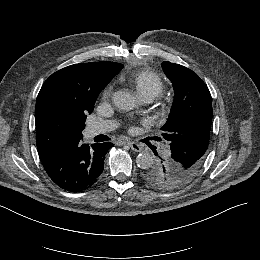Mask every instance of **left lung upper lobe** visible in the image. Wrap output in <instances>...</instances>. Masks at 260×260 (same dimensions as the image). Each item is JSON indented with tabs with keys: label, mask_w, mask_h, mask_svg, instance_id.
<instances>
[{
	"label": "left lung upper lobe",
	"mask_w": 260,
	"mask_h": 260,
	"mask_svg": "<svg viewBox=\"0 0 260 260\" xmlns=\"http://www.w3.org/2000/svg\"><path fill=\"white\" fill-rule=\"evenodd\" d=\"M162 68L175 93L168 120L161 128L172 154L144 169L143 178L154 187L172 189L186 183L201 168L213 112L210 92L192 70L167 61Z\"/></svg>",
	"instance_id": "5c2ea615"
}]
</instances>
